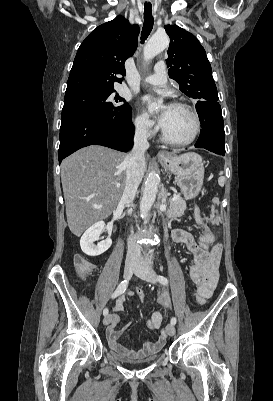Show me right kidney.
<instances>
[{
	"mask_svg": "<svg viewBox=\"0 0 273 401\" xmlns=\"http://www.w3.org/2000/svg\"><path fill=\"white\" fill-rule=\"evenodd\" d=\"M104 227V221H99V223H95V225L89 227L84 235H82L80 239V247L85 255H89V257H98V255H102V253H105V251L111 247V239H105V241H100V243L94 245L95 241H98L101 233H103Z\"/></svg>",
	"mask_w": 273,
	"mask_h": 401,
	"instance_id": "obj_1",
	"label": "right kidney"
}]
</instances>
